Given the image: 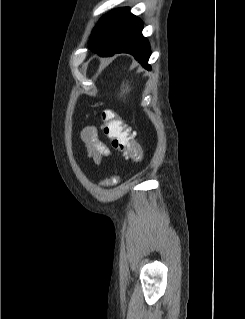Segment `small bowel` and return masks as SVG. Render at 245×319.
<instances>
[{"label":"small bowel","instance_id":"1","mask_svg":"<svg viewBox=\"0 0 245 319\" xmlns=\"http://www.w3.org/2000/svg\"><path fill=\"white\" fill-rule=\"evenodd\" d=\"M82 138L87 146L89 154L96 162L110 154L108 147L99 138L98 131L95 127H87L82 133Z\"/></svg>","mask_w":245,"mask_h":319}]
</instances>
